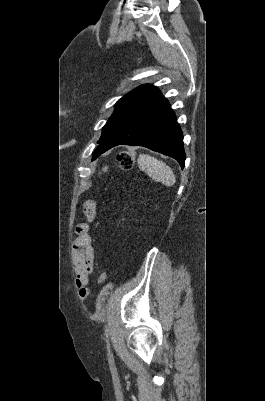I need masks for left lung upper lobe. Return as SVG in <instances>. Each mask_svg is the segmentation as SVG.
I'll list each match as a JSON object with an SVG mask.
<instances>
[{
  "label": "left lung upper lobe",
  "mask_w": 265,
  "mask_h": 401,
  "mask_svg": "<svg viewBox=\"0 0 265 401\" xmlns=\"http://www.w3.org/2000/svg\"><path fill=\"white\" fill-rule=\"evenodd\" d=\"M160 95L161 92L156 87L152 85H142L119 99L116 103L114 113L103 127V132L98 143L100 144L128 118L139 112Z\"/></svg>",
  "instance_id": "1"
}]
</instances>
